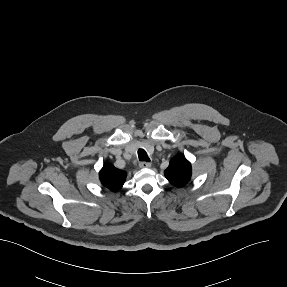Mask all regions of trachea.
Listing matches in <instances>:
<instances>
[{
  "label": "trachea",
  "instance_id": "obj_1",
  "mask_svg": "<svg viewBox=\"0 0 287 287\" xmlns=\"http://www.w3.org/2000/svg\"><path fill=\"white\" fill-rule=\"evenodd\" d=\"M138 157L140 161H146V162L150 161V158L148 157L146 151L143 149L138 150Z\"/></svg>",
  "mask_w": 287,
  "mask_h": 287
}]
</instances>
